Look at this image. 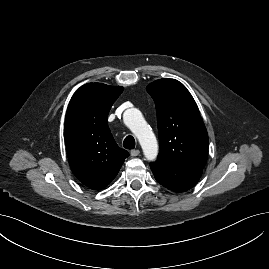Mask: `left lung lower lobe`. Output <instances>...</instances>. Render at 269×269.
Listing matches in <instances>:
<instances>
[{
    "instance_id": "1",
    "label": "left lung lower lobe",
    "mask_w": 269,
    "mask_h": 269,
    "mask_svg": "<svg viewBox=\"0 0 269 269\" xmlns=\"http://www.w3.org/2000/svg\"><path fill=\"white\" fill-rule=\"evenodd\" d=\"M150 168L158 183L174 192L192 188L200 179L202 169L156 160Z\"/></svg>"
}]
</instances>
